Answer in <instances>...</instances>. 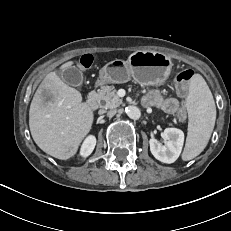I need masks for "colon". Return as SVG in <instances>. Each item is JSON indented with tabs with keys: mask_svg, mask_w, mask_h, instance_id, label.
Masks as SVG:
<instances>
[{
	"mask_svg": "<svg viewBox=\"0 0 231 231\" xmlns=\"http://www.w3.org/2000/svg\"><path fill=\"white\" fill-rule=\"evenodd\" d=\"M93 63V57L91 55H84L81 57L79 64L83 68H89ZM194 76V71L191 69H184L179 72L175 77V84L178 92L181 95H185L188 90V84L192 77ZM178 119L184 121L186 119V112L182 108L178 112Z\"/></svg>",
	"mask_w": 231,
	"mask_h": 231,
	"instance_id": "obj_1",
	"label": "colon"
}]
</instances>
